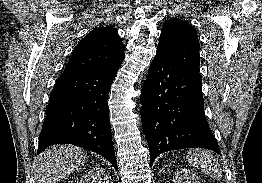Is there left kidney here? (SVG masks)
<instances>
[{
	"label": "left kidney",
	"mask_w": 262,
	"mask_h": 183,
	"mask_svg": "<svg viewBox=\"0 0 262 183\" xmlns=\"http://www.w3.org/2000/svg\"><path fill=\"white\" fill-rule=\"evenodd\" d=\"M173 181L174 183H201L193 172L185 168L176 169Z\"/></svg>",
	"instance_id": "left-kidney-1"
}]
</instances>
